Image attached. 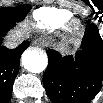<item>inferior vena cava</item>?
<instances>
[{
	"instance_id": "1",
	"label": "inferior vena cava",
	"mask_w": 103,
	"mask_h": 103,
	"mask_svg": "<svg viewBox=\"0 0 103 103\" xmlns=\"http://www.w3.org/2000/svg\"><path fill=\"white\" fill-rule=\"evenodd\" d=\"M20 42H21V41H20ZM20 42L18 41V39L11 40V41L6 42L5 46L8 47V48H10V49H13V48L17 47V45H18Z\"/></svg>"
}]
</instances>
